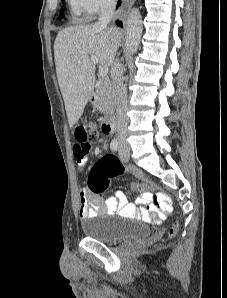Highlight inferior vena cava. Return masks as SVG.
<instances>
[{
	"instance_id": "602c4592",
	"label": "inferior vena cava",
	"mask_w": 227,
	"mask_h": 298,
	"mask_svg": "<svg viewBox=\"0 0 227 298\" xmlns=\"http://www.w3.org/2000/svg\"><path fill=\"white\" fill-rule=\"evenodd\" d=\"M116 6L115 0H103L101 4L99 19L96 26L107 27L114 16ZM124 67L116 59L112 65V85L116 101V118H117V137L119 141H126L128 117L127 111V89L123 82Z\"/></svg>"
}]
</instances>
